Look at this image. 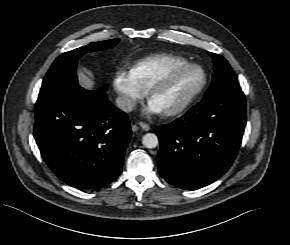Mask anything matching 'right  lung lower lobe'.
Wrapping results in <instances>:
<instances>
[{"label": "right lung lower lobe", "instance_id": "right-lung-lower-lobe-1", "mask_svg": "<svg viewBox=\"0 0 290 245\" xmlns=\"http://www.w3.org/2000/svg\"><path fill=\"white\" fill-rule=\"evenodd\" d=\"M34 137L58 178L76 188L99 189L119 176L131 129L105 90L77 85L38 98Z\"/></svg>", "mask_w": 290, "mask_h": 245}]
</instances>
